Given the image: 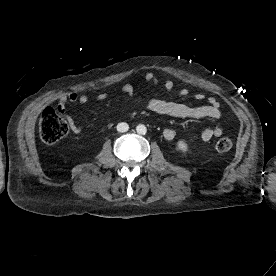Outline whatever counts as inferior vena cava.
<instances>
[{"label":"inferior vena cava","instance_id":"602c4592","mask_svg":"<svg viewBox=\"0 0 276 276\" xmlns=\"http://www.w3.org/2000/svg\"><path fill=\"white\" fill-rule=\"evenodd\" d=\"M128 129H129V126L125 122H121L117 125L118 132H126V131H128Z\"/></svg>","mask_w":276,"mask_h":276}]
</instances>
